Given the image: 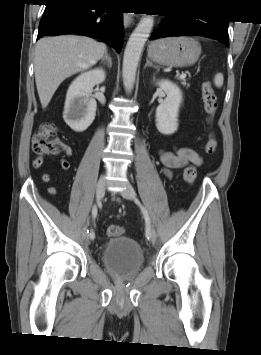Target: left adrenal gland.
Listing matches in <instances>:
<instances>
[{"mask_svg": "<svg viewBox=\"0 0 261 355\" xmlns=\"http://www.w3.org/2000/svg\"><path fill=\"white\" fill-rule=\"evenodd\" d=\"M147 66L156 68V66H154L153 63L150 62V60L148 58L146 59V64H145L144 68H146Z\"/></svg>", "mask_w": 261, "mask_h": 355, "instance_id": "a2214340", "label": "left adrenal gland"}]
</instances>
